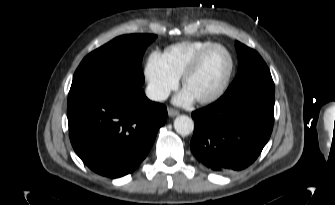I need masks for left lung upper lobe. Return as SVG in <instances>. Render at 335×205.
Masks as SVG:
<instances>
[{"instance_id":"5c2ea615","label":"left lung upper lobe","mask_w":335,"mask_h":205,"mask_svg":"<svg viewBox=\"0 0 335 205\" xmlns=\"http://www.w3.org/2000/svg\"><path fill=\"white\" fill-rule=\"evenodd\" d=\"M238 54V73L226 92L244 88H260L274 93V83L269 68L262 57L240 42L235 44Z\"/></svg>"}]
</instances>
